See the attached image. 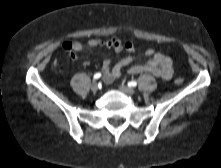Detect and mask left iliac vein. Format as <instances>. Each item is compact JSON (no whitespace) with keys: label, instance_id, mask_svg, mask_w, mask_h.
Here are the masks:
<instances>
[{"label":"left iliac vein","instance_id":"1","mask_svg":"<svg viewBox=\"0 0 221 168\" xmlns=\"http://www.w3.org/2000/svg\"><path fill=\"white\" fill-rule=\"evenodd\" d=\"M119 88L122 92H124L125 94H128V95H133L136 92L134 88H131V87L126 86V85H120Z\"/></svg>","mask_w":221,"mask_h":168}]
</instances>
